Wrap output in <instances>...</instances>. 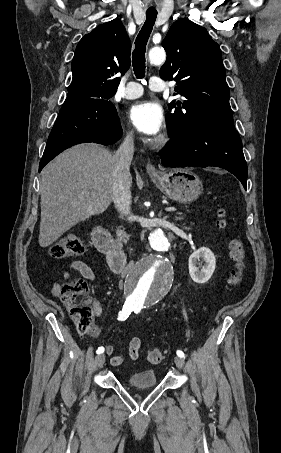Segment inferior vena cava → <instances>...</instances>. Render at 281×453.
<instances>
[{"instance_id": "obj_1", "label": "inferior vena cava", "mask_w": 281, "mask_h": 453, "mask_svg": "<svg viewBox=\"0 0 281 453\" xmlns=\"http://www.w3.org/2000/svg\"><path fill=\"white\" fill-rule=\"evenodd\" d=\"M134 154V140L132 134L125 136L118 150L113 154L115 170L113 178L114 202L117 210L127 216V220H134L131 214V174L129 172L131 160Z\"/></svg>"}]
</instances>
